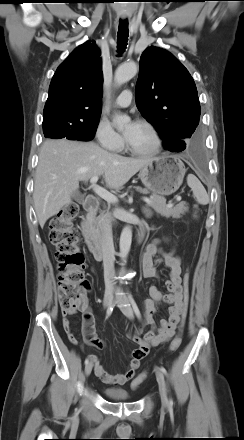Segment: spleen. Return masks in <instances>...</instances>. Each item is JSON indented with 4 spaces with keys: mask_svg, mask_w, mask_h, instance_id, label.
Returning <instances> with one entry per match:
<instances>
[{
    "mask_svg": "<svg viewBox=\"0 0 244 440\" xmlns=\"http://www.w3.org/2000/svg\"><path fill=\"white\" fill-rule=\"evenodd\" d=\"M187 184L191 188L193 192V197L195 198L197 203L201 205H207L209 203V196L204 186L195 175L189 174L187 176Z\"/></svg>",
    "mask_w": 244,
    "mask_h": 440,
    "instance_id": "3e777b00",
    "label": "spleen"
}]
</instances>
